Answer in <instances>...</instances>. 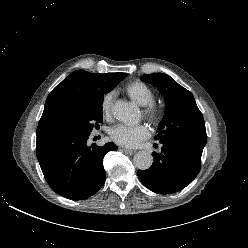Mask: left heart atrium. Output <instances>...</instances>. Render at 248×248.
I'll list each match as a JSON object with an SVG mask.
<instances>
[{"mask_svg":"<svg viewBox=\"0 0 248 248\" xmlns=\"http://www.w3.org/2000/svg\"><path fill=\"white\" fill-rule=\"evenodd\" d=\"M111 138L117 144L125 147H136L140 142L145 140L150 132L145 124H118L111 130Z\"/></svg>","mask_w":248,"mask_h":248,"instance_id":"left-heart-atrium-1","label":"left heart atrium"}]
</instances>
